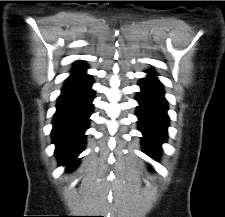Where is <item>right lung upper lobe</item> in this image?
Listing matches in <instances>:
<instances>
[{"label": "right lung upper lobe", "instance_id": "right-lung-upper-lobe-1", "mask_svg": "<svg viewBox=\"0 0 225 217\" xmlns=\"http://www.w3.org/2000/svg\"><path fill=\"white\" fill-rule=\"evenodd\" d=\"M87 65L83 61H77L72 69V74L68 77L67 80L77 79V78H87L89 75L85 73L87 70Z\"/></svg>", "mask_w": 225, "mask_h": 217}]
</instances>
